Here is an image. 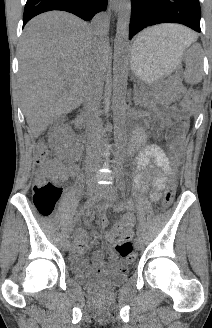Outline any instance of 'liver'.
<instances>
[{"label":"liver","mask_w":212,"mask_h":328,"mask_svg":"<svg viewBox=\"0 0 212 328\" xmlns=\"http://www.w3.org/2000/svg\"><path fill=\"white\" fill-rule=\"evenodd\" d=\"M145 32L148 40H167L183 48L197 39L186 27L174 24ZM101 46L91 26L69 13H43L25 26L19 47V87L35 138L81 104L88 79L100 66Z\"/></svg>","instance_id":"liver-1"}]
</instances>
